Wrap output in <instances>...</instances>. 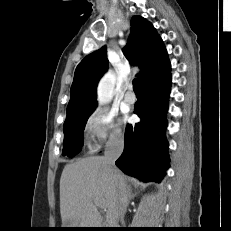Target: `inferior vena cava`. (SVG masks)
<instances>
[{"mask_svg": "<svg viewBox=\"0 0 231 231\" xmlns=\"http://www.w3.org/2000/svg\"><path fill=\"white\" fill-rule=\"evenodd\" d=\"M124 140L121 133H113L110 135L104 152V161L108 171L111 174L116 172L115 161L123 152ZM128 202V194L126 189L121 185H117L116 211L121 223H124V215Z\"/></svg>", "mask_w": 231, "mask_h": 231, "instance_id": "602c4592", "label": "inferior vena cava"}]
</instances>
